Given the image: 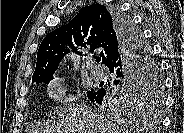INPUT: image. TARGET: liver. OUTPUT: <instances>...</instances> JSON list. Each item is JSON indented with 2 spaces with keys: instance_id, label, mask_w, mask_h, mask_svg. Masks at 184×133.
<instances>
[{
  "instance_id": "obj_1",
  "label": "liver",
  "mask_w": 184,
  "mask_h": 133,
  "mask_svg": "<svg viewBox=\"0 0 184 133\" xmlns=\"http://www.w3.org/2000/svg\"><path fill=\"white\" fill-rule=\"evenodd\" d=\"M58 115L61 119L47 127L46 133H124V129L113 124L108 116L86 105H68L60 109Z\"/></svg>"
}]
</instances>
